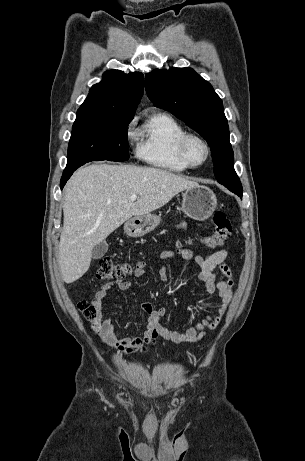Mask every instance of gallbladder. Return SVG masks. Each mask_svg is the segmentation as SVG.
<instances>
[{
	"instance_id": "1",
	"label": "gallbladder",
	"mask_w": 305,
	"mask_h": 461,
	"mask_svg": "<svg viewBox=\"0 0 305 461\" xmlns=\"http://www.w3.org/2000/svg\"><path fill=\"white\" fill-rule=\"evenodd\" d=\"M108 251V244L106 241H102L99 244L95 245L92 249V258L93 259H100L105 255Z\"/></svg>"
}]
</instances>
